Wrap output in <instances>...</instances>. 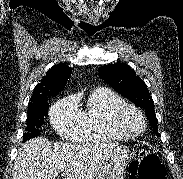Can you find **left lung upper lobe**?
I'll use <instances>...</instances> for the list:
<instances>
[{"instance_id": "5c2ea615", "label": "left lung upper lobe", "mask_w": 183, "mask_h": 179, "mask_svg": "<svg viewBox=\"0 0 183 179\" xmlns=\"http://www.w3.org/2000/svg\"><path fill=\"white\" fill-rule=\"evenodd\" d=\"M99 76L118 93L143 108L153 131L156 136H159L153 100L147 85L136 75L135 71L123 63L109 64L99 68Z\"/></svg>"}]
</instances>
